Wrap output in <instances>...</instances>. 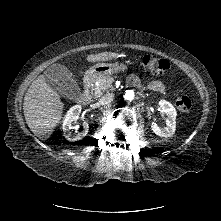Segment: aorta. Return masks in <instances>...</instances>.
<instances>
[{"label": "aorta", "instance_id": "obj_1", "mask_svg": "<svg viewBox=\"0 0 221 221\" xmlns=\"http://www.w3.org/2000/svg\"><path fill=\"white\" fill-rule=\"evenodd\" d=\"M124 98L126 100H132L134 98V92L132 90L126 91Z\"/></svg>", "mask_w": 221, "mask_h": 221}]
</instances>
